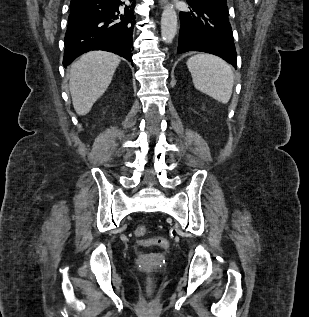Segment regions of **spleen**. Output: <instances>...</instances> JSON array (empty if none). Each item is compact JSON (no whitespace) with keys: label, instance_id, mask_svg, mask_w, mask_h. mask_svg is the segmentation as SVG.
Segmentation results:
<instances>
[{"label":"spleen","instance_id":"3e777b00","mask_svg":"<svg viewBox=\"0 0 309 317\" xmlns=\"http://www.w3.org/2000/svg\"><path fill=\"white\" fill-rule=\"evenodd\" d=\"M187 67L196 89L223 104L229 102L234 84L230 65L214 55L198 54L188 59Z\"/></svg>","mask_w":309,"mask_h":317}]
</instances>
